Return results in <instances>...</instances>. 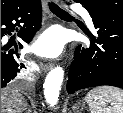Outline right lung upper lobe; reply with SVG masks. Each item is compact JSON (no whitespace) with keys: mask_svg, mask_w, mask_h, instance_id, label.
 Segmentation results:
<instances>
[{"mask_svg":"<svg viewBox=\"0 0 123 113\" xmlns=\"http://www.w3.org/2000/svg\"><path fill=\"white\" fill-rule=\"evenodd\" d=\"M30 1L34 0H1V13L19 8Z\"/></svg>","mask_w":123,"mask_h":113,"instance_id":"cb5924a9","label":"right lung upper lobe"}]
</instances>
